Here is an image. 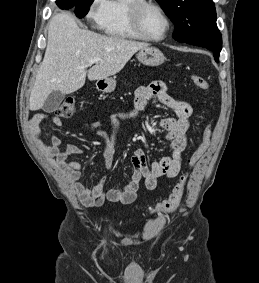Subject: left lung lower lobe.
Wrapping results in <instances>:
<instances>
[{
  "mask_svg": "<svg viewBox=\"0 0 259 283\" xmlns=\"http://www.w3.org/2000/svg\"><path fill=\"white\" fill-rule=\"evenodd\" d=\"M185 43L204 47V48L211 50L214 54L216 61H218L219 55L222 49V37L220 33L213 37L192 40V41L185 42Z\"/></svg>",
  "mask_w": 259,
  "mask_h": 283,
  "instance_id": "0a47b994",
  "label": "left lung lower lobe"
}]
</instances>
